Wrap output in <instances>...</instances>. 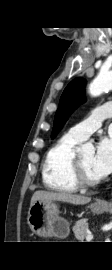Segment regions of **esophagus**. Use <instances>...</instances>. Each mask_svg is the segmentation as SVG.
<instances>
[{
  "label": "esophagus",
  "mask_w": 112,
  "mask_h": 270,
  "mask_svg": "<svg viewBox=\"0 0 112 270\" xmlns=\"http://www.w3.org/2000/svg\"><path fill=\"white\" fill-rule=\"evenodd\" d=\"M97 204H99V205H104V203L101 202V201H98Z\"/></svg>",
  "instance_id": "1"
}]
</instances>
